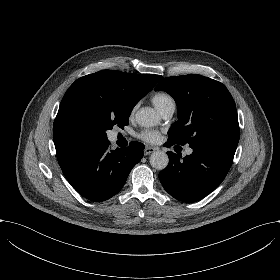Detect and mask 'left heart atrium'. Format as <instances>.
Masks as SVG:
<instances>
[{
	"mask_svg": "<svg viewBox=\"0 0 280 280\" xmlns=\"http://www.w3.org/2000/svg\"><path fill=\"white\" fill-rule=\"evenodd\" d=\"M138 137L146 142H155L158 140V133L151 130H143L139 133Z\"/></svg>",
	"mask_w": 280,
	"mask_h": 280,
	"instance_id": "39dd6f15",
	"label": "left heart atrium"
}]
</instances>
